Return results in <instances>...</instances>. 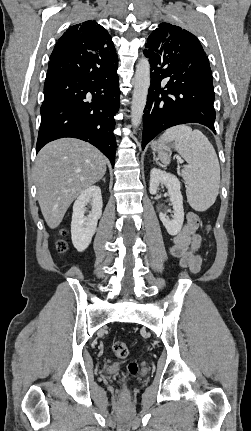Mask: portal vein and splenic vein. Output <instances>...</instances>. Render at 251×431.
Listing matches in <instances>:
<instances>
[{
  "label": "portal vein and splenic vein",
  "instance_id": "portal-vein-and-splenic-vein-1",
  "mask_svg": "<svg viewBox=\"0 0 251 431\" xmlns=\"http://www.w3.org/2000/svg\"><path fill=\"white\" fill-rule=\"evenodd\" d=\"M178 160H179L180 162H183V161H182V159H181V158H179V157H178Z\"/></svg>",
  "mask_w": 251,
  "mask_h": 431
}]
</instances>
